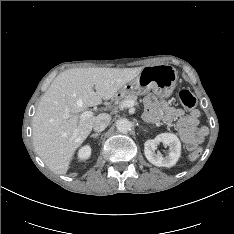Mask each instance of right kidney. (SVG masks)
Instances as JSON below:
<instances>
[{
    "instance_id": "obj_1",
    "label": "right kidney",
    "mask_w": 234,
    "mask_h": 234,
    "mask_svg": "<svg viewBox=\"0 0 234 234\" xmlns=\"http://www.w3.org/2000/svg\"><path fill=\"white\" fill-rule=\"evenodd\" d=\"M91 155V147L89 145L83 146L78 152V159L80 161L87 160Z\"/></svg>"
}]
</instances>
